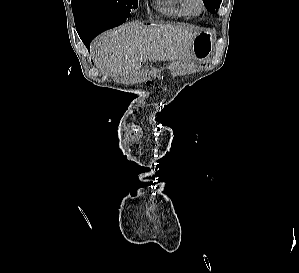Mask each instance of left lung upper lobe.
I'll list each match as a JSON object with an SVG mask.
<instances>
[{"instance_id":"left-lung-upper-lobe-1","label":"left lung upper lobe","mask_w":299,"mask_h":273,"mask_svg":"<svg viewBox=\"0 0 299 273\" xmlns=\"http://www.w3.org/2000/svg\"><path fill=\"white\" fill-rule=\"evenodd\" d=\"M207 10L211 13L215 12V9L219 7L221 0H203Z\"/></svg>"}]
</instances>
